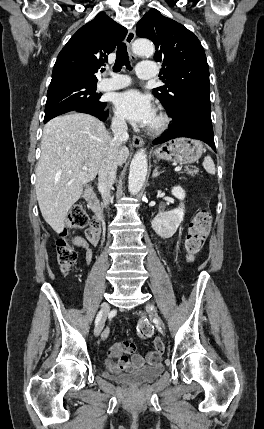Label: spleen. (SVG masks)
Here are the masks:
<instances>
[{"label":"spleen","instance_id":"1","mask_svg":"<svg viewBox=\"0 0 264 429\" xmlns=\"http://www.w3.org/2000/svg\"><path fill=\"white\" fill-rule=\"evenodd\" d=\"M203 167L210 174H215L216 172L215 164L210 156L204 158Z\"/></svg>","mask_w":264,"mask_h":429}]
</instances>
